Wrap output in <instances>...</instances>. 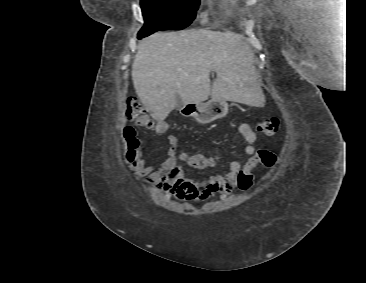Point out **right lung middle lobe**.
<instances>
[{"mask_svg":"<svg viewBox=\"0 0 366 283\" xmlns=\"http://www.w3.org/2000/svg\"><path fill=\"white\" fill-rule=\"evenodd\" d=\"M200 0H141L144 26L138 38L160 30H181L192 23Z\"/></svg>","mask_w":366,"mask_h":283,"instance_id":"obj_1","label":"right lung middle lobe"}]
</instances>
